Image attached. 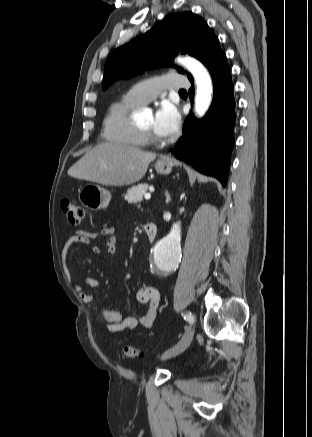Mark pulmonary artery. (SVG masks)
Returning <instances> with one entry per match:
<instances>
[{"mask_svg": "<svg viewBox=\"0 0 312 437\" xmlns=\"http://www.w3.org/2000/svg\"><path fill=\"white\" fill-rule=\"evenodd\" d=\"M189 86L187 77L183 74L170 73L137 83L127 97L142 106L152 101L162 90L184 89Z\"/></svg>", "mask_w": 312, "mask_h": 437, "instance_id": "obj_1", "label": "pulmonary artery"}]
</instances>
